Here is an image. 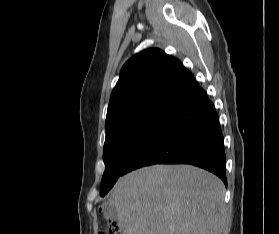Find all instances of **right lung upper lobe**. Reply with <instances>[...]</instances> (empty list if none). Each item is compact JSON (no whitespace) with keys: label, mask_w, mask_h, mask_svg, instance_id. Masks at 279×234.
Listing matches in <instances>:
<instances>
[{"label":"right lung upper lobe","mask_w":279,"mask_h":234,"mask_svg":"<svg viewBox=\"0 0 279 234\" xmlns=\"http://www.w3.org/2000/svg\"><path fill=\"white\" fill-rule=\"evenodd\" d=\"M196 83L178 59L157 48L144 50L122 67L110 97L106 121L146 106L170 107Z\"/></svg>","instance_id":"obj_1"}]
</instances>
